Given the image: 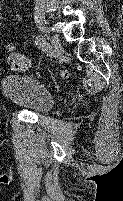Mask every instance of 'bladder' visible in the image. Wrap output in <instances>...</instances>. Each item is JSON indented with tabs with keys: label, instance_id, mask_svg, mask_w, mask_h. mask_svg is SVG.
<instances>
[{
	"label": "bladder",
	"instance_id": "31cf9c89",
	"mask_svg": "<svg viewBox=\"0 0 123 201\" xmlns=\"http://www.w3.org/2000/svg\"><path fill=\"white\" fill-rule=\"evenodd\" d=\"M6 98L15 106L35 114H45L54 104L51 93L40 82L25 74H8L2 79Z\"/></svg>",
	"mask_w": 123,
	"mask_h": 201
}]
</instances>
